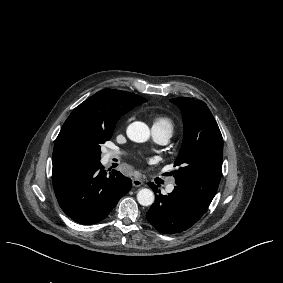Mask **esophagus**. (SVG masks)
I'll return each instance as SVG.
<instances>
[{"mask_svg": "<svg viewBox=\"0 0 283 283\" xmlns=\"http://www.w3.org/2000/svg\"><path fill=\"white\" fill-rule=\"evenodd\" d=\"M132 184H133L134 187H140V186H142L144 183H143L142 180L134 178V179H132Z\"/></svg>", "mask_w": 283, "mask_h": 283, "instance_id": "34e87169", "label": "esophagus"}]
</instances>
